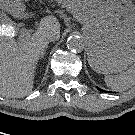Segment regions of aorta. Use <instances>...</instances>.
Returning a JSON list of instances; mask_svg holds the SVG:
<instances>
[{
  "label": "aorta",
  "mask_w": 135,
  "mask_h": 135,
  "mask_svg": "<svg viewBox=\"0 0 135 135\" xmlns=\"http://www.w3.org/2000/svg\"><path fill=\"white\" fill-rule=\"evenodd\" d=\"M66 44L70 51L80 53L84 49L85 40L82 36L71 35L68 37Z\"/></svg>",
  "instance_id": "762f6f07"
}]
</instances>
